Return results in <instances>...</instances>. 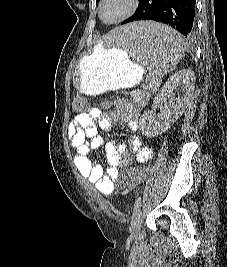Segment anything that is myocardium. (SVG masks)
<instances>
[{"instance_id":"obj_1","label":"myocardium","mask_w":227,"mask_h":267,"mask_svg":"<svg viewBox=\"0 0 227 267\" xmlns=\"http://www.w3.org/2000/svg\"><path fill=\"white\" fill-rule=\"evenodd\" d=\"M106 2L107 0H100L99 7H98L99 18L106 24H117V23L123 22L124 20L131 17L137 11L139 4H140V0H128V7L126 11L122 15H120L118 18L107 21L103 17V8Z\"/></svg>"}]
</instances>
